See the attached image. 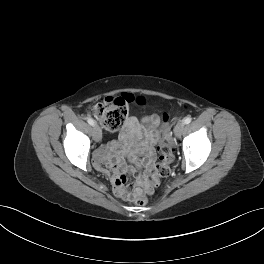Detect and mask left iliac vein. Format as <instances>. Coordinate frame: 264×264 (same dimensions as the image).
Returning <instances> with one entry per match:
<instances>
[{
  "instance_id": "left-iliac-vein-1",
  "label": "left iliac vein",
  "mask_w": 264,
  "mask_h": 264,
  "mask_svg": "<svg viewBox=\"0 0 264 264\" xmlns=\"http://www.w3.org/2000/svg\"><path fill=\"white\" fill-rule=\"evenodd\" d=\"M184 126H185V124H184L183 121H180V122L177 123V125L174 128V133H175L176 137H180L181 136V133H182V131L184 129Z\"/></svg>"
}]
</instances>
